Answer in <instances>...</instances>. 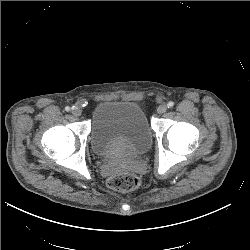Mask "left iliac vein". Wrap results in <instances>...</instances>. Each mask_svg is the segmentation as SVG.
Listing matches in <instances>:
<instances>
[{
    "mask_svg": "<svg viewBox=\"0 0 250 250\" xmlns=\"http://www.w3.org/2000/svg\"><path fill=\"white\" fill-rule=\"evenodd\" d=\"M166 110H167V106L165 104H162V105L158 106L157 113L158 114H163V113L166 112Z\"/></svg>",
    "mask_w": 250,
    "mask_h": 250,
    "instance_id": "left-iliac-vein-1",
    "label": "left iliac vein"
}]
</instances>
